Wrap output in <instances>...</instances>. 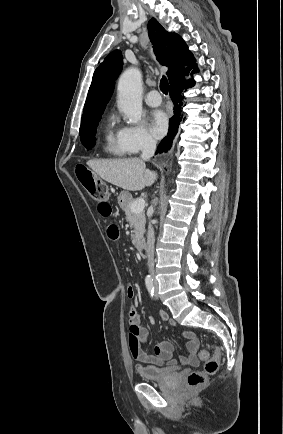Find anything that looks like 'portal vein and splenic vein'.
<instances>
[{"label": "portal vein and splenic vein", "mask_w": 283, "mask_h": 434, "mask_svg": "<svg viewBox=\"0 0 283 434\" xmlns=\"http://www.w3.org/2000/svg\"><path fill=\"white\" fill-rule=\"evenodd\" d=\"M145 208V200L144 199H138L133 202L131 205V210L133 212L139 213L142 212Z\"/></svg>", "instance_id": "1"}]
</instances>
